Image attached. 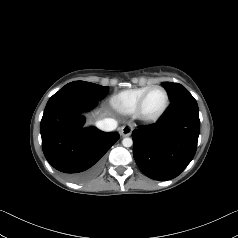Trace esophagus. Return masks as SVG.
<instances>
[{"mask_svg":"<svg viewBox=\"0 0 238 238\" xmlns=\"http://www.w3.org/2000/svg\"><path fill=\"white\" fill-rule=\"evenodd\" d=\"M133 131V127L131 125H125L120 129V133L123 137L130 136Z\"/></svg>","mask_w":238,"mask_h":238,"instance_id":"obj_1","label":"esophagus"}]
</instances>
